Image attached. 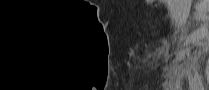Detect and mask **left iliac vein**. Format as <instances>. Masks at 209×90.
<instances>
[{"mask_svg": "<svg viewBox=\"0 0 209 90\" xmlns=\"http://www.w3.org/2000/svg\"><path fill=\"white\" fill-rule=\"evenodd\" d=\"M191 85H192V86H195L194 80H193V79H191Z\"/></svg>", "mask_w": 209, "mask_h": 90, "instance_id": "obj_1", "label": "left iliac vein"}]
</instances>
